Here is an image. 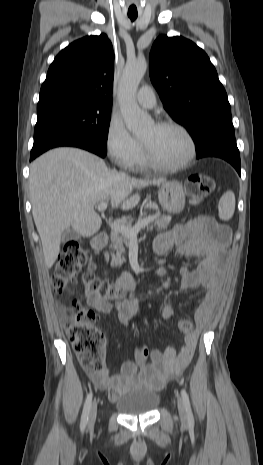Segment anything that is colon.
Instances as JSON below:
<instances>
[{"label":"colon","instance_id":"5ec220e1","mask_svg":"<svg viewBox=\"0 0 263 465\" xmlns=\"http://www.w3.org/2000/svg\"><path fill=\"white\" fill-rule=\"evenodd\" d=\"M214 180L205 174L190 175L185 182L186 195L190 203L197 205L208 197L214 189ZM193 220L201 225L217 228L214 221L205 216L194 217ZM87 265L83 273L81 284L88 297L120 300L126 297V291L107 284L96 278L92 271L94 265L89 262V255L78 241L67 242L53 271L52 286L57 291L66 289ZM184 274L187 272L184 270ZM79 307V301L73 302ZM95 313L87 308H79L65 321V329L80 365L88 372L96 373L104 369L106 338L96 326ZM179 330L184 333L192 331V323L188 319L178 322Z\"/></svg>","mask_w":263,"mask_h":465}]
</instances>
